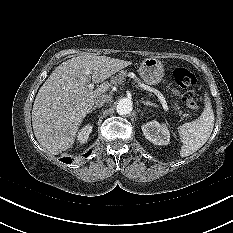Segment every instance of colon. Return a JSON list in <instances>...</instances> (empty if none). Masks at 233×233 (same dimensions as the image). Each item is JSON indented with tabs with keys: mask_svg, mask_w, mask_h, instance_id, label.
Returning a JSON list of instances; mask_svg holds the SVG:
<instances>
[{
	"mask_svg": "<svg viewBox=\"0 0 233 233\" xmlns=\"http://www.w3.org/2000/svg\"><path fill=\"white\" fill-rule=\"evenodd\" d=\"M174 82L184 90L183 100L193 111L197 112L199 106L196 102L195 86L197 84L196 76L188 69L183 67L175 68L173 71Z\"/></svg>",
	"mask_w": 233,
	"mask_h": 233,
	"instance_id": "1",
	"label": "colon"
}]
</instances>
